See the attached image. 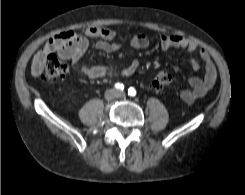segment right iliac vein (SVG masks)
<instances>
[{
    "label": "right iliac vein",
    "mask_w": 245,
    "mask_h": 195,
    "mask_svg": "<svg viewBox=\"0 0 245 195\" xmlns=\"http://www.w3.org/2000/svg\"><path fill=\"white\" fill-rule=\"evenodd\" d=\"M117 91L115 90V89H109V90H107L106 92H105V98L107 99V100H111V99H113V98H115V97H117Z\"/></svg>",
    "instance_id": "63e3f726"
}]
</instances>
